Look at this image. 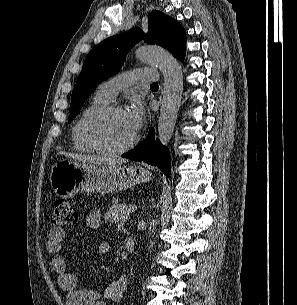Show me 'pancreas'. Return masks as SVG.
I'll return each instance as SVG.
<instances>
[{
	"label": "pancreas",
	"instance_id": "1",
	"mask_svg": "<svg viewBox=\"0 0 297 305\" xmlns=\"http://www.w3.org/2000/svg\"><path fill=\"white\" fill-rule=\"evenodd\" d=\"M127 210L128 206L118 203V200L116 198H113L112 205L105 214V219L110 222L124 224L129 215V212Z\"/></svg>",
	"mask_w": 297,
	"mask_h": 305
}]
</instances>
